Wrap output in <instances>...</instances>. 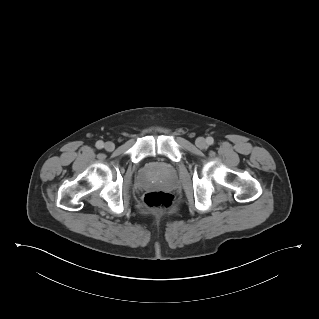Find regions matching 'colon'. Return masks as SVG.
I'll list each match as a JSON object with an SVG mask.
<instances>
[{
  "label": "colon",
  "mask_w": 319,
  "mask_h": 319,
  "mask_svg": "<svg viewBox=\"0 0 319 319\" xmlns=\"http://www.w3.org/2000/svg\"><path fill=\"white\" fill-rule=\"evenodd\" d=\"M143 201L151 209H164L173 202V196L165 191H150L144 194Z\"/></svg>",
  "instance_id": "1"
}]
</instances>
